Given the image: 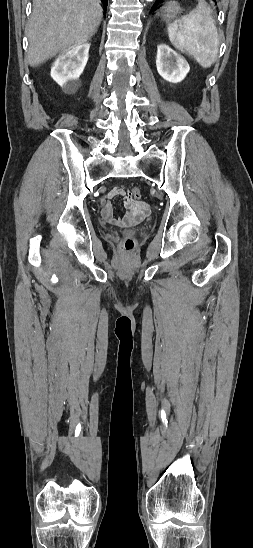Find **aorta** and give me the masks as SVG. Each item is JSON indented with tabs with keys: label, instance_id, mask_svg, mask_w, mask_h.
<instances>
[{
	"label": "aorta",
	"instance_id": "762f6f07",
	"mask_svg": "<svg viewBox=\"0 0 253 548\" xmlns=\"http://www.w3.org/2000/svg\"><path fill=\"white\" fill-rule=\"evenodd\" d=\"M147 2H152L153 0H146Z\"/></svg>",
	"mask_w": 253,
	"mask_h": 548
}]
</instances>
